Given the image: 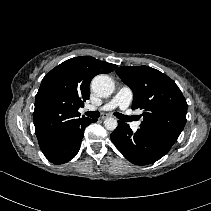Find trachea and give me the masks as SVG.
I'll return each mask as SVG.
<instances>
[{"label":"trachea","mask_w":211,"mask_h":211,"mask_svg":"<svg viewBox=\"0 0 211 211\" xmlns=\"http://www.w3.org/2000/svg\"><path fill=\"white\" fill-rule=\"evenodd\" d=\"M85 115H87L90 118L96 119L100 116V113L98 111H88L85 112ZM114 115L122 121H130L132 119L131 117H128L118 112L114 113Z\"/></svg>","instance_id":"1"}]
</instances>
